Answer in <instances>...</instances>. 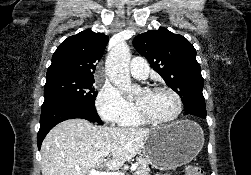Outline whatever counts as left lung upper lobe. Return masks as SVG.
I'll use <instances>...</instances> for the list:
<instances>
[{"label":"left lung upper lobe","instance_id":"1","mask_svg":"<svg viewBox=\"0 0 251 175\" xmlns=\"http://www.w3.org/2000/svg\"><path fill=\"white\" fill-rule=\"evenodd\" d=\"M133 45L166 84L180 95L184 106L205 104L196 50L184 36L160 27L137 35Z\"/></svg>","mask_w":251,"mask_h":175}]
</instances>
